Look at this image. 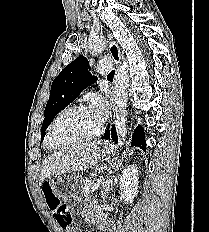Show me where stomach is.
<instances>
[{
  "instance_id": "0dacf381",
  "label": "stomach",
  "mask_w": 209,
  "mask_h": 232,
  "mask_svg": "<svg viewBox=\"0 0 209 232\" xmlns=\"http://www.w3.org/2000/svg\"><path fill=\"white\" fill-rule=\"evenodd\" d=\"M101 152L104 155H110L113 152V146L105 144ZM80 183H83V178L78 176V171H57L50 186L58 199H77L78 191H81Z\"/></svg>"
}]
</instances>
